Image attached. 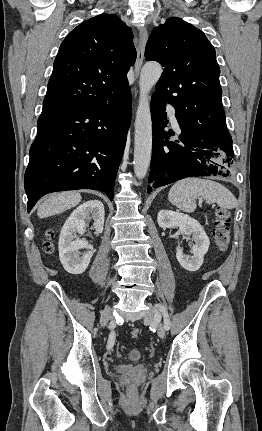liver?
Instances as JSON below:
<instances>
[{
    "label": "liver",
    "instance_id": "6515ba94",
    "mask_svg": "<svg viewBox=\"0 0 262 431\" xmlns=\"http://www.w3.org/2000/svg\"><path fill=\"white\" fill-rule=\"evenodd\" d=\"M81 199L80 193L74 191L53 194L38 207L37 215L42 219L60 214L77 206Z\"/></svg>",
    "mask_w": 262,
    "mask_h": 431
}]
</instances>
